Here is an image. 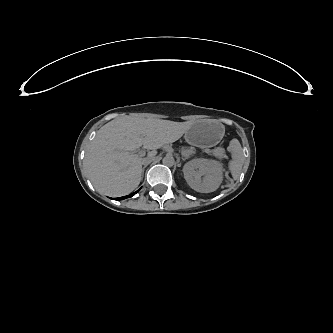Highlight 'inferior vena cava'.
<instances>
[{
	"instance_id": "inferior-vena-cava-1",
	"label": "inferior vena cava",
	"mask_w": 333,
	"mask_h": 333,
	"mask_svg": "<svg viewBox=\"0 0 333 333\" xmlns=\"http://www.w3.org/2000/svg\"><path fill=\"white\" fill-rule=\"evenodd\" d=\"M153 160H154V157H152V158H144V159L142 160V165H148V164H150Z\"/></svg>"
}]
</instances>
